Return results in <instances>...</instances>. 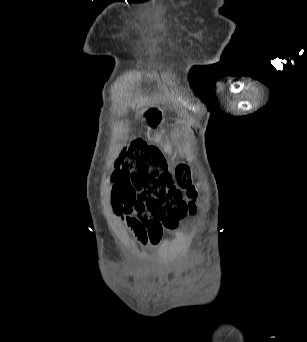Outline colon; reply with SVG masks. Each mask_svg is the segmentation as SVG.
I'll list each match as a JSON object with an SVG mask.
<instances>
[{
	"instance_id": "obj_1",
	"label": "colon",
	"mask_w": 307,
	"mask_h": 342,
	"mask_svg": "<svg viewBox=\"0 0 307 342\" xmlns=\"http://www.w3.org/2000/svg\"><path fill=\"white\" fill-rule=\"evenodd\" d=\"M182 160L174 169V178L157 147L134 141L122 152L117 164L116 171L123 173L124 178L120 181L112 178V203L115 206L145 207L166 228L176 227L182 218L195 212L194 202L198 197L187 164L191 159L184 156Z\"/></svg>"
}]
</instances>
